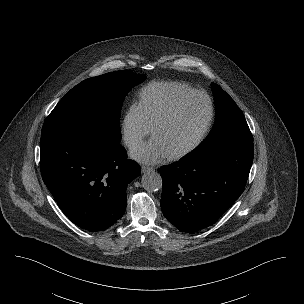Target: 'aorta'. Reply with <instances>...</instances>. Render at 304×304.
<instances>
[{
  "label": "aorta",
  "instance_id": "1",
  "mask_svg": "<svg viewBox=\"0 0 304 304\" xmlns=\"http://www.w3.org/2000/svg\"><path fill=\"white\" fill-rule=\"evenodd\" d=\"M141 183L143 188L149 192H155L162 188L161 175L155 171H149L142 176Z\"/></svg>",
  "mask_w": 304,
  "mask_h": 304
}]
</instances>
